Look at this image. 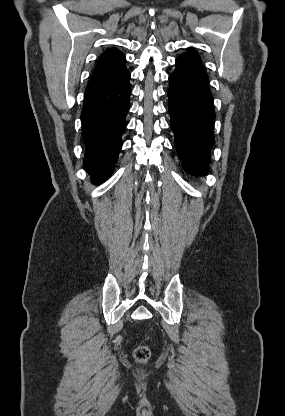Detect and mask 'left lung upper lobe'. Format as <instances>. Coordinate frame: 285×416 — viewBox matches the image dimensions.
Listing matches in <instances>:
<instances>
[{"instance_id": "left-lung-upper-lobe-1", "label": "left lung upper lobe", "mask_w": 285, "mask_h": 416, "mask_svg": "<svg viewBox=\"0 0 285 416\" xmlns=\"http://www.w3.org/2000/svg\"><path fill=\"white\" fill-rule=\"evenodd\" d=\"M181 56H189L200 61L199 55L195 51L190 49L187 52L183 53Z\"/></svg>"}]
</instances>
